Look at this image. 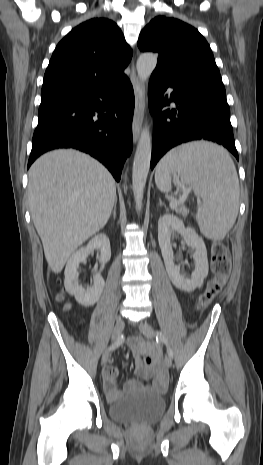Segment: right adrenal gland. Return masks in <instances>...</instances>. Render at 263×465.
Segmentation results:
<instances>
[{
  "mask_svg": "<svg viewBox=\"0 0 263 465\" xmlns=\"http://www.w3.org/2000/svg\"><path fill=\"white\" fill-rule=\"evenodd\" d=\"M113 218L116 219V203L114 204V208H113Z\"/></svg>",
  "mask_w": 263,
  "mask_h": 465,
  "instance_id": "obj_1",
  "label": "right adrenal gland"
}]
</instances>
